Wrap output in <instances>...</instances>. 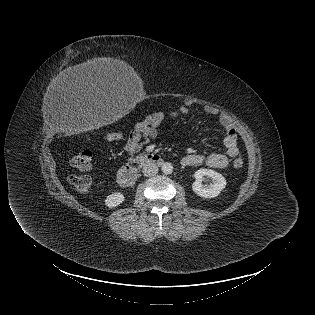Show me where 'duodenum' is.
Listing matches in <instances>:
<instances>
[{
  "label": "duodenum",
  "mask_w": 315,
  "mask_h": 315,
  "mask_svg": "<svg viewBox=\"0 0 315 315\" xmlns=\"http://www.w3.org/2000/svg\"><path fill=\"white\" fill-rule=\"evenodd\" d=\"M163 159L158 154H145L139 157L137 163L139 165H146V164H152V165H162ZM137 178V171L135 167L131 165L123 166L117 173V183L121 187H129L136 181Z\"/></svg>",
  "instance_id": "duodenum-1"
}]
</instances>
